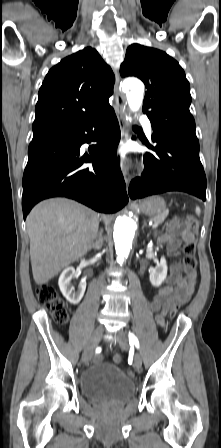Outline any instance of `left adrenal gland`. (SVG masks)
Instances as JSON below:
<instances>
[{
    "label": "left adrenal gland",
    "mask_w": 221,
    "mask_h": 448,
    "mask_svg": "<svg viewBox=\"0 0 221 448\" xmlns=\"http://www.w3.org/2000/svg\"><path fill=\"white\" fill-rule=\"evenodd\" d=\"M147 226L146 222H144L143 227Z\"/></svg>",
    "instance_id": "1"
}]
</instances>
